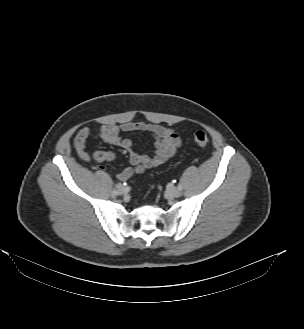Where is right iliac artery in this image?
<instances>
[{"mask_svg": "<svg viewBox=\"0 0 304 329\" xmlns=\"http://www.w3.org/2000/svg\"><path fill=\"white\" fill-rule=\"evenodd\" d=\"M117 187V186H116ZM112 193L114 194V195H117L118 193H117V189L116 188H114L113 190H112Z\"/></svg>", "mask_w": 304, "mask_h": 329, "instance_id": "right-iliac-artery-1", "label": "right iliac artery"}]
</instances>
